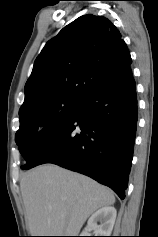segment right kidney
<instances>
[{"label": "right kidney", "mask_w": 158, "mask_h": 237, "mask_svg": "<svg viewBox=\"0 0 158 237\" xmlns=\"http://www.w3.org/2000/svg\"><path fill=\"white\" fill-rule=\"evenodd\" d=\"M116 214V209L113 206L100 208L89 218L87 227L81 236H88V231H94L95 236H110L115 224Z\"/></svg>", "instance_id": "right-kidney-1"}]
</instances>
